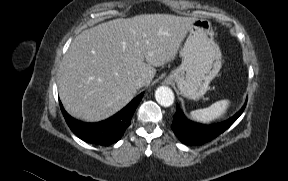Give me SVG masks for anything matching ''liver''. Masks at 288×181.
<instances>
[{"instance_id": "obj_1", "label": "liver", "mask_w": 288, "mask_h": 181, "mask_svg": "<svg viewBox=\"0 0 288 181\" xmlns=\"http://www.w3.org/2000/svg\"><path fill=\"white\" fill-rule=\"evenodd\" d=\"M194 18L142 14L82 31L60 68L59 96L66 111L87 122L120 111L136 94L134 81L149 86L160 67L175 59Z\"/></svg>"}]
</instances>
